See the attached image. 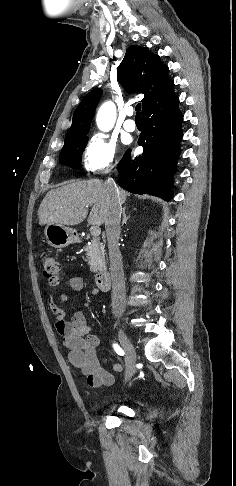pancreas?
Wrapping results in <instances>:
<instances>
[{
	"instance_id": "cf45deb5",
	"label": "pancreas",
	"mask_w": 236,
	"mask_h": 486,
	"mask_svg": "<svg viewBox=\"0 0 236 486\" xmlns=\"http://www.w3.org/2000/svg\"><path fill=\"white\" fill-rule=\"evenodd\" d=\"M90 270L94 273L106 270L105 250L100 239L93 237L91 243L84 247Z\"/></svg>"
}]
</instances>
